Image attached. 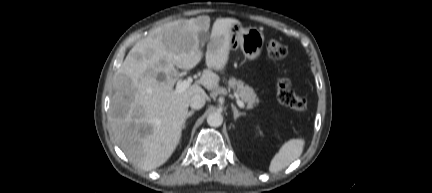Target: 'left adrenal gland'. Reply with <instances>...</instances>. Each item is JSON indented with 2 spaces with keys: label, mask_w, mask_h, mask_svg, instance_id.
Here are the masks:
<instances>
[{
  "label": "left adrenal gland",
  "mask_w": 432,
  "mask_h": 193,
  "mask_svg": "<svg viewBox=\"0 0 432 193\" xmlns=\"http://www.w3.org/2000/svg\"><path fill=\"white\" fill-rule=\"evenodd\" d=\"M232 110H233V113H234V120H235V121H236L240 116H244V113L239 112L238 109H237L234 105H232Z\"/></svg>",
  "instance_id": "left-adrenal-gland-1"
}]
</instances>
